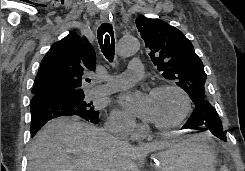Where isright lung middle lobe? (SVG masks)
Listing matches in <instances>:
<instances>
[{
	"mask_svg": "<svg viewBox=\"0 0 245 171\" xmlns=\"http://www.w3.org/2000/svg\"><path fill=\"white\" fill-rule=\"evenodd\" d=\"M84 94L77 96L61 95L59 98L63 99L66 103L74 106L76 109L81 110L84 114L89 116L98 115L99 111L95 110L90 104L84 101Z\"/></svg>",
	"mask_w": 245,
	"mask_h": 171,
	"instance_id": "1",
	"label": "right lung middle lobe"
}]
</instances>
